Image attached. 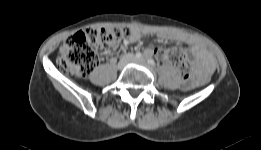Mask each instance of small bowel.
Here are the masks:
<instances>
[{
  "mask_svg": "<svg viewBox=\"0 0 261 150\" xmlns=\"http://www.w3.org/2000/svg\"><path fill=\"white\" fill-rule=\"evenodd\" d=\"M149 33L146 29L135 28L132 30V34L129 36L127 43H135L140 40V38ZM178 40L190 46V51L195 57L194 61V77L189 81L188 85L193 84L198 78L206 77L214 69L215 63L212 55L207 50V48L196 38L191 36H182ZM146 57L154 55L152 49H146L144 51ZM164 61H167L163 59Z\"/></svg>",
  "mask_w": 261,
  "mask_h": 150,
  "instance_id": "obj_1",
  "label": "small bowel"
}]
</instances>
